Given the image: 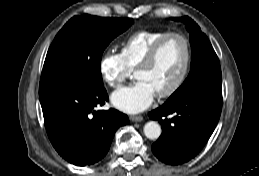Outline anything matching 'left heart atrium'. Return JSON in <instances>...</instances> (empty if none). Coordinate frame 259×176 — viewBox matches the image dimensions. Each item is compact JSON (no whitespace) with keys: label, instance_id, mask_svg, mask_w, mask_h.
Masks as SVG:
<instances>
[{"label":"left heart atrium","instance_id":"obj_1","mask_svg":"<svg viewBox=\"0 0 259 176\" xmlns=\"http://www.w3.org/2000/svg\"><path fill=\"white\" fill-rule=\"evenodd\" d=\"M156 93L145 81H137L135 84L115 91L111 95V102L117 109L126 113H139L147 109Z\"/></svg>","mask_w":259,"mask_h":176}]
</instances>
